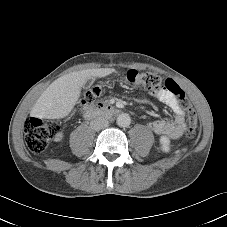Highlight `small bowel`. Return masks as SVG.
I'll return each instance as SVG.
<instances>
[{
  "label": "small bowel",
  "mask_w": 227,
  "mask_h": 227,
  "mask_svg": "<svg viewBox=\"0 0 227 227\" xmlns=\"http://www.w3.org/2000/svg\"><path fill=\"white\" fill-rule=\"evenodd\" d=\"M145 94L156 98L161 103L168 106L174 113L172 121L164 119L155 120L151 125L152 130L158 135H164L172 139H177L182 136L186 130L185 112L179 106L176 97L166 89H162L160 92L147 89ZM61 138V134L56 136L57 141L61 140Z\"/></svg>",
  "instance_id": "c3829d8e"
}]
</instances>
